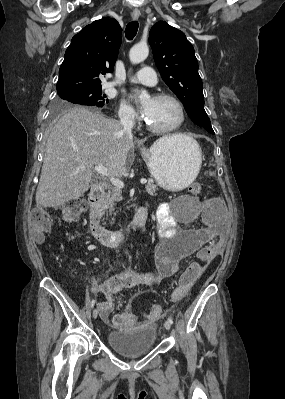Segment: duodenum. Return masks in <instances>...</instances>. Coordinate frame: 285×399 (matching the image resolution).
I'll use <instances>...</instances> for the list:
<instances>
[{"mask_svg": "<svg viewBox=\"0 0 285 399\" xmlns=\"http://www.w3.org/2000/svg\"><path fill=\"white\" fill-rule=\"evenodd\" d=\"M104 190L101 186H95L92 188L89 203L91 205L90 212V230L93 238L100 242L110 245H116L125 243L133 238L138 231H140L147 218L146 209L141 206L135 213L130 224L122 229H108L101 225L98 217V206L100 205L103 198Z\"/></svg>", "mask_w": 285, "mask_h": 399, "instance_id": "duodenum-1", "label": "duodenum"}]
</instances>
